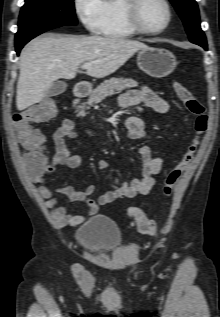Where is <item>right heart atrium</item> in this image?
Wrapping results in <instances>:
<instances>
[{
	"instance_id": "right-heart-atrium-1",
	"label": "right heart atrium",
	"mask_w": 220,
	"mask_h": 317,
	"mask_svg": "<svg viewBox=\"0 0 220 317\" xmlns=\"http://www.w3.org/2000/svg\"><path fill=\"white\" fill-rule=\"evenodd\" d=\"M101 0H73L74 12L90 32H98Z\"/></svg>"
}]
</instances>
